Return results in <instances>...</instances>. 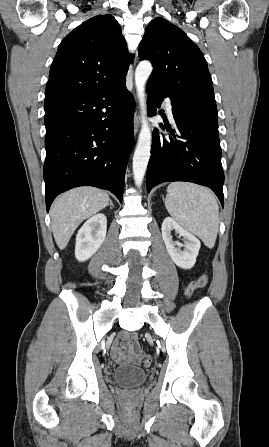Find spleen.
<instances>
[{"label": "spleen", "instance_id": "1", "mask_svg": "<svg viewBox=\"0 0 269 447\" xmlns=\"http://www.w3.org/2000/svg\"><path fill=\"white\" fill-rule=\"evenodd\" d=\"M165 208L178 224L198 235L207 247H214L219 206L211 190L189 182H172L168 186Z\"/></svg>", "mask_w": 269, "mask_h": 447}]
</instances>
